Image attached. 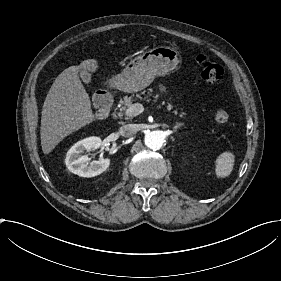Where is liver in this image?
<instances>
[{
    "instance_id": "obj_1",
    "label": "liver",
    "mask_w": 281,
    "mask_h": 281,
    "mask_svg": "<svg viewBox=\"0 0 281 281\" xmlns=\"http://www.w3.org/2000/svg\"><path fill=\"white\" fill-rule=\"evenodd\" d=\"M79 67L93 70L96 61L84 60ZM77 72L76 66L61 72L45 98L40 127L44 153H49L62 138L90 123L93 118L89 96Z\"/></svg>"
}]
</instances>
